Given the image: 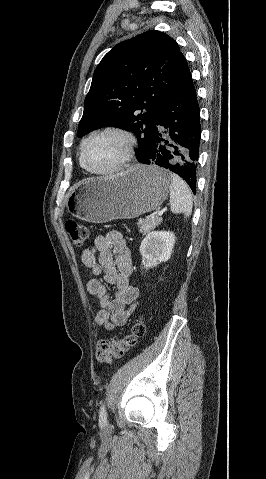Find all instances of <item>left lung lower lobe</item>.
I'll return each instance as SVG.
<instances>
[{"label":"left lung lower lobe","mask_w":266,"mask_h":479,"mask_svg":"<svg viewBox=\"0 0 266 479\" xmlns=\"http://www.w3.org/2000/svg\"><path fill=\"white\" fill-rule=\"evenodd\" d=\"M200 110L190 71L162 106L148 150L140 161L182 177L196 193Z\"/></svg>","instance_id":"1"}]
</instances>
